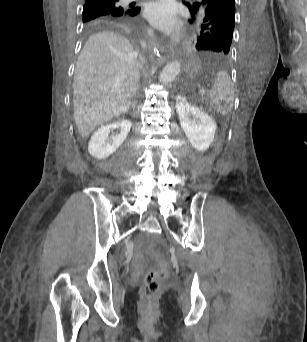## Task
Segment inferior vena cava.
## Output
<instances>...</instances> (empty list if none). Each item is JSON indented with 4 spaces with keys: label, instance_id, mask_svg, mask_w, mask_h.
I'll use <instances>...</instances> for the list:
<instances>
[{
    "label": "inferior vena cava",
    "instance_id": "inferior-vena-cava-1",
    "mask_svg": "<svg viewBox=\"0 0 307 342\" xmlns=\"http://www.w3.org/2000/svg\"><path fill=\"white\" fill-rule=\"evenodd\" d=\"M141 46H143V48H145L146 44L145 42H141ZM136 56H137V52H135ZM140 62H143V58H140ZM139 66H142V64H139Z\"/></svg>",
    "mask_w": 307,
    "mask_h": 342
}]
</instances>
